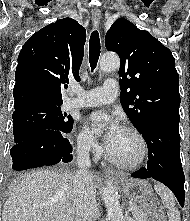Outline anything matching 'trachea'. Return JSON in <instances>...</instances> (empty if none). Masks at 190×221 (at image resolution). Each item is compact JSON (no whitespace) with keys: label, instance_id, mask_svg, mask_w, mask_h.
I'll return each mask as SVG.
<instances>
[{"label":"trachea","instance_id":"1","mask_svg":"<svg viewBox=\"0 0 190 221\" xmlns=\"http://www.w3.org/2000/svg\"><path fill=\"white\" fill-rule=\"evenodd\" d=\"M100 38H99V33L98 31H93L90 36V41H89V61H90V67L91 71H93L96 66L97 62L100 56Z\"/></svg>","mask_w":190,"mask_h":221}]
</instances>
